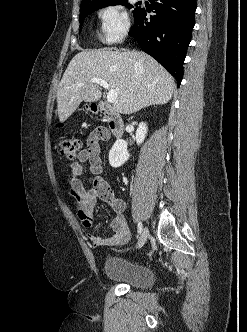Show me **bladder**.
Wrapping results in <instances>:
<instances>
[{
    "label": "bladder",
    "instance_id": "1",
    "mask_svg": "<svg viewBox=\"0 0 247 332\" xmlns=\"http://www.w3.org/2000/svg\"><path fill=\"white\" fill-rule=\"evenodd\" d=\"M105 274L113 282L144 289L154 281L151 270L144 264L109 256L104 263Z\"/></svg>",
    "mask_w": 247,
    "mask_h": 332
}]
</instances>
